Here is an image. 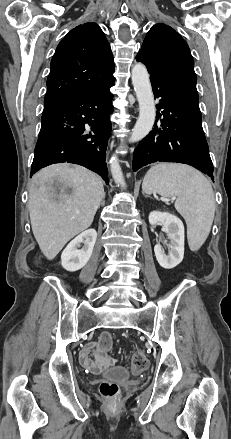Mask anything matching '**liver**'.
I'll return each instance as SVG.
<instances>
[{"instance_id":"1","label":"liver","mask_w":231,"mask_h":439,"mask_svg":"<svg viewBox=\"0 0 231 439\" xmlns=\"http://www.w3.org/2000/svg\"><path fill=\"white\" fill-rule=\"evenodd\" d=\"M104 197L100 178L81 166L53 164L33 176L28 203L30 221L48 260L90 227Z\"/></svg>"}]
</instances>
